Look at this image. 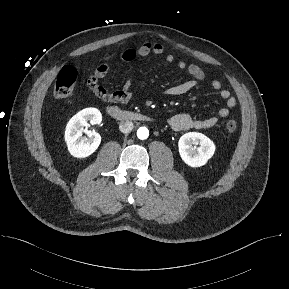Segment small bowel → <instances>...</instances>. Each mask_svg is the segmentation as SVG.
I'll use <instances>...</instances> for the list:
<instances>
[{
    "mask_svg": "<svg viewBox=\"0 0 289 289\" xmlns=\"http://www.w3.org/2000/svg\"><path fill=\"white\" fill-rule=\"evenodd\" d=\"M164 54V47L158 42H144L138 48H128L123 50L119 58L124 62H131L137 57H147L150 55L161 56ZM165 60L168 63L174 61V56L167 54ZM177 68L186 72L189 79L170 86L165 89L164 93L167 96H181L189 93L199 84L206 80V74L201 67L196 64H187L184 61L177 63ZM110 66L108 63L98 65L94 72L88 77L87 85L90 90L100 99L110 103L126 104L131 98L129 86L126 85L122 90L110 92L100 84V81L105 78L109 72ZM212 89L218 91L220 97L225 101V107L217 110L212 116L205 119H198L189 114H177L169 119V125L176 131L189 129H208L215 126L220 119L226 118L230 114V109L237 104L236 99L231 93L222 88V83L219 80H212L210 83Z\"/></svg>",
    "mask_w": 289,
    "mask_h": 289,
    "instance_id": "obj_1",
    "label": "small bowel"
}]
</instances>
